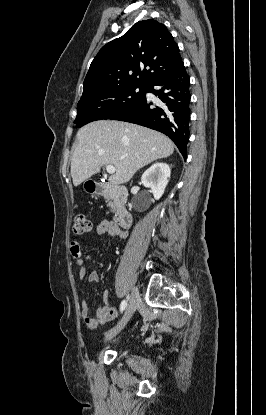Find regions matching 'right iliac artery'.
<instances>
[{
	"label": "right iliac artery",
	"mask_w": 266,
	"mask_h": 415,
	"mask_svg": "<svg viewBox=\"0 0 266 415\" xmlns=\"http://www.w3.org/2000/svg\"><path fill=\"white\" fill-rule=\"evenodd\" d=\"M126 306H127V301L123 300L121 302V305H120V311L123 312V310L126 308Z\"/></svg>",
	"instance_id": "obj_1"
}]
</instances>
